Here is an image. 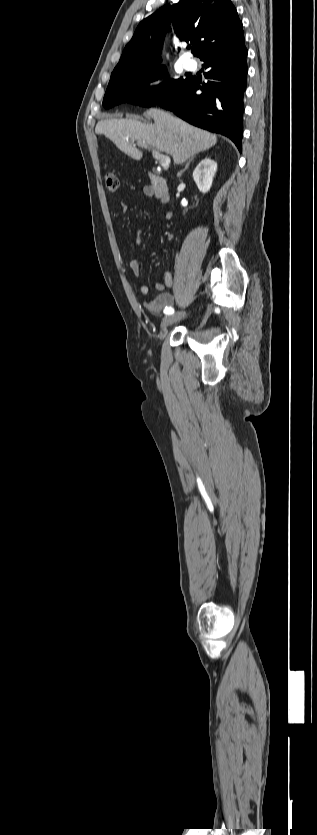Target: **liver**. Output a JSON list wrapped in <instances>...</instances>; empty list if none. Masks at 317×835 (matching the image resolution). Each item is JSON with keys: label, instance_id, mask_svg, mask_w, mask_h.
Listing matches in <instances>:
<instances>
[{"label": "liver", "instance_id": "1", "mask_svg": "<svg viewBox=\"0 0 317 835\" xmlns=\"http://www.w3.org/2000/svg\"><path fill=\"white\" fill-rule=\"evenodd\" d=\"M144 115L152 118L154 123L146 124L131 118H108L97 123L95 133L103 134L133 159L139 160L143 156L135 142L171 155L175 164H183L188 158L217 143L215 134L194 127L163 110L153 108Z\"/></svg>", "mask_w": 317, "mask_h": 835}]
</instances>
